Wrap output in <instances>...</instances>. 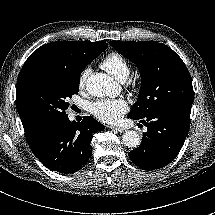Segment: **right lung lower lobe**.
<instances>
[{
	"label": "right lung lower lobe",
	"mask_w": 215,
	"mask_h": 215,
	"mask_svg": "<svg viewBox=\"0 0 215 215\" xmlns=\"http://www.w3.org/2000/svg\"><path fill=\"white\" fill-rule=\"evenodd\" d=\"M104 126L90 116L78 123L64 118L39 126L27 139L34 155L50 170L63 174L75 173L89 160L93 133Z\"/></svg>",
	"instance_id": "right-lung-lower-lobe-1"
}]
</instances>
